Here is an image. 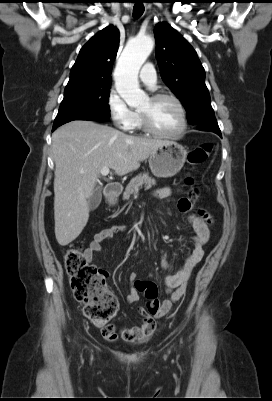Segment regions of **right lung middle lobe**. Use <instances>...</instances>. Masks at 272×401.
I'll return each mask as SVG.
<instances>
[{
	"label": "right lung middle lobe",
	"instance_id": "right-lung-middle-lobe-1",
	"mask_svg": "<svg viewBox=\"0 0 272 401\" xmlns=\"http://www.w3.org/2000/svg\"><path fill=\"white\" fill-rule=\"evenodd\" d=\"M111 84L98 85L64 92L53 126L73 120L106 121L110 117L108 105Z\"/></svg>",
	"mask_w": 272,
	"mask_h": 401
}]
</instances>
